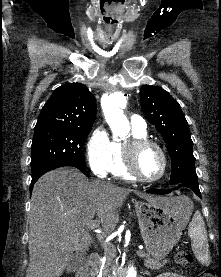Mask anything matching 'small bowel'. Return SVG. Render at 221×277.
Returning a JSON list of instances; mask_svg holds the SVG:
<instances>
[{
    "mask_svg": "<svg viewBox=\"0 0 221 277\" xmlns=\"http://www.w3.org/2000/svg\"><path fill=\"white\" fill-rule=\"evenodd\" d=\"M157 277H186V276L181 275V274H178V273H170V272H167V273L160 274V275L157 276Z\"/></svg>",
    "mask_w": 221,
    "mask_h": 277,
    "instance_id": "obj_1",
    "label": "small bowel"
}]
</instances>
